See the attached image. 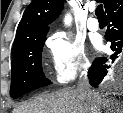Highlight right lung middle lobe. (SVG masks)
<instances>
[{
  "mask_svg": "<svg viewBox=\"0 0 123 113\" xmlns=\"http://www.w3.org/2000/svg\"><path fill=\"white\" fill-rule=\"evenodd\" d=\"M45 36L27 40L13 50L11 97L18 98L34 89L50 84L42 71Z\"/></svg>",
  "mask_w": 123,
  "mask_h": 113,
  "instance_id": "right-lung-middle-lobe-1",
  "label": "right lung middle lobe"
}]
</instances>
